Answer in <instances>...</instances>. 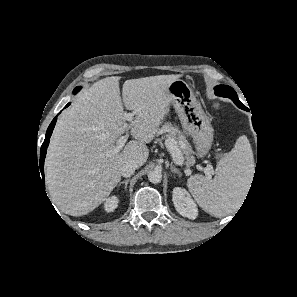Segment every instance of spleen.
Instances as JSON below:
<instances>
[{"label":"spleen","instance_id":"spleen-1","mask_svg":"<svg viewBox=\"0 0 297 297\" xmlns=\"http://www.w3.org/2000/svg\"><path fill=\"white\" fill-rule=\"evenodd\" d=\"M254 159L246 136L237 139L234 148L218 162L215 177L193 175L187 186L199 206L215 217L238 209L249 188Z\"/></svg>","mask_w":297,"mask_h":297}]
</instances>
